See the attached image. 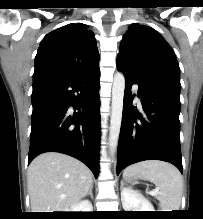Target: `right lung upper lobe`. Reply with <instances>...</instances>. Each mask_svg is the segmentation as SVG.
<instances>
[{"mask_svg":"<svg viewBox=\"0 0 203 219\" xmlns=\"http://www.w3.org/2000/svg\"><path fill=\"white\" fill-rule=\"evenodd\" d=\"M99 68L94 34L82 23L48 33L35 57L33 79L51 75L88 73Z\"/></svg>","mask_w":203,"mask_h":219,"instance_id":"right-lung-upper-lobe-1","label":"right lung upper lobe"}]
</instances>
